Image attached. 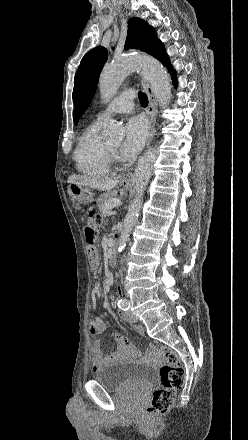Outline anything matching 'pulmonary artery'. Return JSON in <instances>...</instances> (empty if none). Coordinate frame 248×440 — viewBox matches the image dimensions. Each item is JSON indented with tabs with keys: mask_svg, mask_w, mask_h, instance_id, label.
Returning <instances> with one entry per match:
<instances>
[{
	"mask_svg": "<svg viewBox=\"0 0 248 440\" xmlns=\"http://www.w3.org/2000/svg\"><path fill=\"white\" fill-rule=\"evenodd\" d=\"M135 93L132 90H126L119 94L103 111L96 117L97 122H101L105 117L113 114L128 113L133 109V99Z\"/></svg>",
	"mask_w": 248,
	"mask_h": 440,
	"instance_id": "e3ab8cb5",
	"label": "pulmonary artery"
}]
</instances>
